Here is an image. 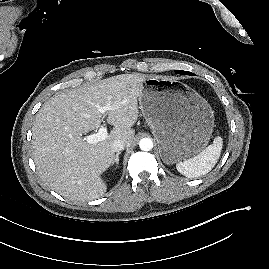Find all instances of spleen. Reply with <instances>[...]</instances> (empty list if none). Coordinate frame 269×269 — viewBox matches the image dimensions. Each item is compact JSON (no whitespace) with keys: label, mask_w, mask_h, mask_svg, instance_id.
Returning <instances> with one entry per match:
<instances>
[{"label":"spleen","mask_w":269,"mask_h":269,"mask_svg":"<svg viewBox=\"0 0 269 269\" xmlns=\"http://www.w3.org/2000/svg\"><path fill=\"white\" fill-rule=\"evenodd\" d=\"M223 146L220 136L214 138L213 143L201 150L197 155L176 164V169L189 178L207 174L216 165Z\"/></svg>","instance_id":"1"}]
</instances>
